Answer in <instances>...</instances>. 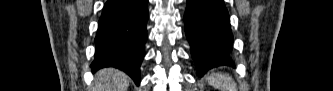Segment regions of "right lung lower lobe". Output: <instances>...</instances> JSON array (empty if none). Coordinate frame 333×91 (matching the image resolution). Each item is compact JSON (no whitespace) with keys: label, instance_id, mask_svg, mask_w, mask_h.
Segmentation results:
<instances>
[{"label":"right lung lower lobe","instance_id":"1","mask_svg":"<svg viewBox=\"0 0 333 91\" xmlns=\"http://www.w3.org/2000/svg\"><path fill=\"white\" fill-rule=\"evenodd\" d=\"M148 0H108L99 19L95 38V72L115 67L139 85V67L144 58Z\"/></svg>","mask_w":333,"mask_h":91}]
</instances>
